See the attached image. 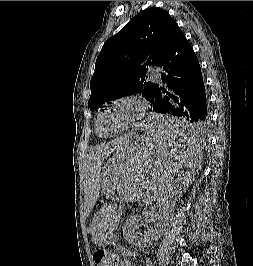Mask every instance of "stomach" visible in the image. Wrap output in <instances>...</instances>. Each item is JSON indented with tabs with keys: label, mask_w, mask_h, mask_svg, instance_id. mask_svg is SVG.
<instances>
[{
	"label": "stomach",
	"mask_w": 253,
	"mask_h": 266,
	"mask_svg": "<svg viewBox=\"0 0 253 266\" xmlns=\"http://www.w3.org/2000/svg\"><path fill=\"white\" fill-rule=\"evenodd\" d=\"M145 140L142 136L131 139L126 143L122 149L110 160L107 165L108 171V185L110 189L114 191L116 185H121L120 179L121 176H125L126 171L130 169H121L120 161L121 160H135V151L140 150L141 145H145Z\"/></svg>",
	"instance_id": "obj_1"
}]
</instances>
